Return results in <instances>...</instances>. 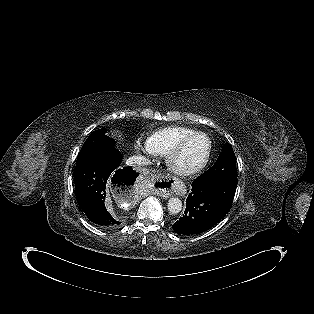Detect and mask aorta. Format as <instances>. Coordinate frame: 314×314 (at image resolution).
<instances>
[{
    "label": "aorta",
    "instance_id": "aorta-1",
    "mask_svg": "<svg viewBox=\"0 0 314 314\" xmlns=\"http://www.w3.org/2000/svg\"><path fill=\"white\" fill-rule=\"evenodd\" d=\"M167 207L171 214H178L182 210V202L179 198H170Z\"/></svg>",
    "mask_w": 314,
    "mask_h": 314
}]
</instances>
